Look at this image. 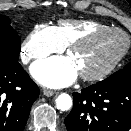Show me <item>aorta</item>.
I'll return each mask as SVG.
<instances>
[{"label": "aorta", "instance_id": "obj_1", "mask_svg": "<svg viewBox=\"0 0 131 131\" xmlns=\"http://www.w3.org/2000/svg\"><path fill=\"white\" fill-rule=\"evenodd\" d=\"M56 107L61 111H67L72 107V98L66 93L60 94L56 100Z\"/></svg>", "mask_w": 131, "mask_h": 131}]
</instances>
